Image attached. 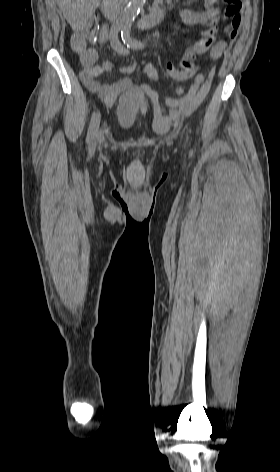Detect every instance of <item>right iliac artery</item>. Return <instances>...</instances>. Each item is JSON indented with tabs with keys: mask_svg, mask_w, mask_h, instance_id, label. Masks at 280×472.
Masks as SVG:
<instances>
[{
	"mask_svg": "<svg viewBox=\"0 0 280 472\" xmlns=\"http://www.w3.org/2000/svg\"><path fill=\"white\" fill-rule=\"evenodd\" d=\"M121 25H115L111 28L110 31V43L115 51L119 54H128V50L120 43L118 40V33L122 30ZM101 115L100 112H95L92 115L90 126L87 133L86 141L90 146L95 144L99 124H100Z\"/></svg>",
	"mask_w": 280,
	"mask_h": 472,
	"instance_id": "right-iliac-artery-1",
	"label": "right iliac artery"
}]
</instances>
